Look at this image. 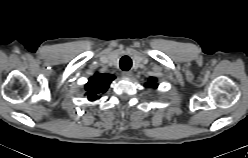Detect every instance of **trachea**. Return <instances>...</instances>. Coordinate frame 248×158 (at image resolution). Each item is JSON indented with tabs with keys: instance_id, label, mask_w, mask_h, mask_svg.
<instances>
[{
	"instance_id": "obj_1",
	"label": "trachea",
	"mask_w": 248,
	"mask_h": 158,
	"mask_svg": "<svg viewBox=\"0 0 248 158\" xmlns=\"http://www.w3.org/2000/svg\"><path fill=\"white\" fill-rule=\"evenodd\" d=\"M132 66V60L128 56H123L120 59V68L124 71H128Z\"/></svg>"
}]
</instances>
